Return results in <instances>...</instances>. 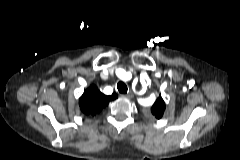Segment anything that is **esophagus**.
Listing matches in <instances>:
<instances>
[{
    "instance_id": "1",
    "label": "esophagus",
    "mask_w": 240,
    "mask_h": 160,
    "mask_svg": "<svg viewBox=\"0 0 240 160\" xmlns=\"http://www.w3.org/2000/svg\"><path fill=\"white\" fill-rule=\"evenodd\" d=\"M126 98H132L133 97V94H132V92H129V93H127L126 95H124Z\"/></svg>"
}]
</instances>
